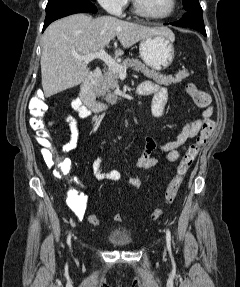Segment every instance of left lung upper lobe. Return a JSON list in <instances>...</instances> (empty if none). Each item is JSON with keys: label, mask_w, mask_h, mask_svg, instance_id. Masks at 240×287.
<instances>
[{"label": "left lung upper lobe", "mask_w": 240, "mask_h": 287, "mask_svg": "<svg viewBox=\"0 0 240 287\" xmlns=\"http://www.w3.org/2000/svg\"><path fill=\"white\" fill-rule=\"evenodd\" d=\"M183 1V7L185 9L191 7V6H195V5H199V1L198 0H182Z\"/></svg>", "instance_id": "5c2ea615"}]
</instances>
